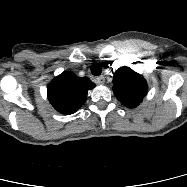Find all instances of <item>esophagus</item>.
I'll return each instance as SVG.
<instances>
[{"mask_svg":"<svg viewBox=\"0 0 187 187\" xmlns=\"http://www.w3.org/2000/svg\"><path fill=\"white\" fill-rule=\"evenodd\" d=\"M95 82H96L97 84H104V83H105V78H104V76H99V77H97V78L95 79Z\"/></svg>","mask_w":187,"mask_h":187,"instance_id":"1","label":"esophagus"}]
</instances>
